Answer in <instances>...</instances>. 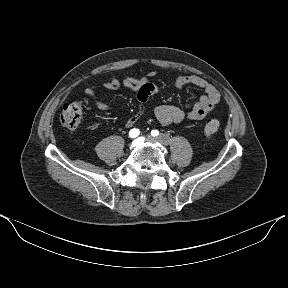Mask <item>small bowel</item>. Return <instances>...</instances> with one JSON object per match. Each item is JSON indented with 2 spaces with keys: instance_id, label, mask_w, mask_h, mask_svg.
I'll return each mask as SVG.
<instances>
[{
  "instance_id": "1",
  "label": "small bowel",
  "mask_w": 288,
  "mask_h": 288,
  "mask_svg": "<svg viewBox=\"0 0 288 288\" xmlns=\"http://www.w3.org/2000/svg\"><path fill=\"white\" fill-rule=\"evenodd\" d=\"M155 76V72H149L147 76L140 79L126 75L122 80L111 78L102 84V86L108 90H116L120 87H125L137 93L139 102L138 109L134 115L125 121L124 125L126 128H132L138 123L145 112V106L148 99L159 92V88L150 82V79ZM174 85L177 89H181L187 85L196 86L201 88L205 94L199 97L187 113L173 105H158L155 108L154 113L163 127L178 124L184 119L192 121L202 120L216 108L220 101L218 90L199 76L178 75L174 80ZM86 94L93 100L99 110L104 112H110L112 110L109 105L97 98L95 87L87 88Z\"/></svg>"
}]
</instances>
